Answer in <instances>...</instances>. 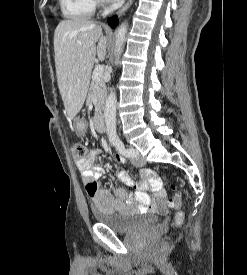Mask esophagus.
<instances>
[{"mask_svg": "<svg viewBox=\"0 0 247 275\" xmlns=\"http://www.w3.org/2000/svg\"><path fill=\"white\" fill-rule=\"evenodd\" d=\"M133 2L134 0H128L126 4L117 12V15L121 16L122 14H124L128 10V8L132 5Z\"/></svg>", "mask_w": 247, "mask_h": 275, "instance_id": "1", "label": "esophagus"}]
</instances>
